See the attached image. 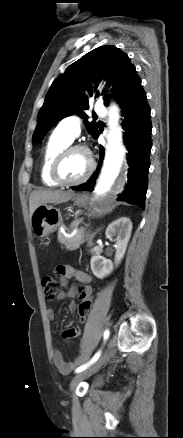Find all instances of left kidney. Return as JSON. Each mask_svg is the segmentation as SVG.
Segmentation results:
<instances>
[{"instance_id": "obj_1", "label": "left kidney", "mask_w": 183, "mask_h": 438, "mask_svg": "<svg viewBox=\"0 0 183 438\" xmlns=\"http://www.w3.org/2000/svg\"><path fill=\"white\" fill-rule=\"evenodd\" d=\"M131 231L132 222L127 217H121L113 221L106 228L105 235L108 239L112 240V237L116 236V253L114 259L115 266L120 264L125 255L131 236ZM90 265L93 274L99 279H103L104 277L108 276L114 269L113 262L100 255H94L91 258Z\"/></svg>"}]
</instances>
